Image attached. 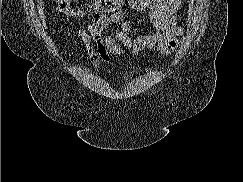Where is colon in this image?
Listing matches in <instances>:
<instances>
[{
    "label": "colon",
    "mask_w": 243,
    "mask_h": 182,
    "mask_svg": "<svg viewBox=\"0 0 243 182\" xmlns=\"http://www.w3.org/2000/svg\"><path fill=\"white\" fill-rule=\"evenodd\" d=\"M58 10L68 16H77L79 13L71 7V0H55ZM122 0H93L90 10L95 13L109 14L118 11Z\"/></svg>",
    "instance_id": "colon-1"
}]
</instances>
